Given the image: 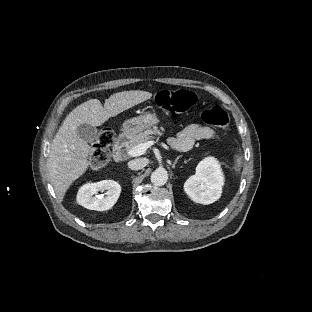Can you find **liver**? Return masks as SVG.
<instances>
[{"label": "liver", "instance_id": "6515ba94", "mask_svg": "<svg viewBox=\"0 0 312 312\" xmlns=\"http://www.w3.org/2000/svg\"><path fill=\"white\" fill-rule=\"evenodd\" d=\"M153 94L143 90H130L111 94L104 107L90 99L75 107L64 119L56 133L48 156L47 171L57 198L63 202L68 188L89 169V144L77 135L82 124L102 127L111 118L151 99Z\"/></svg>", "mask_w": 312, "mask_h": 312}]
</instances>
